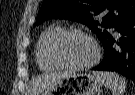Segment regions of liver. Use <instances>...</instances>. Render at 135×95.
Wrapping results in <instances>:
<instances>
[{"mask_svg":"<svg viewBox=\"0 0 135 95\" xmlns=\"http://www.w3.org/2000/svg\"><path fill=\"white\" fill-rule=\"evenodd\" d=\"M67 75H69L68 72H51L43 74L33 81L28 93H30V95H39L46 88L58 82L60 79L66 77Z\"/></svg>","mask_w":135,"mask_h":95,"instance_id":"liver-1","label":"liver"}]
</instances>
